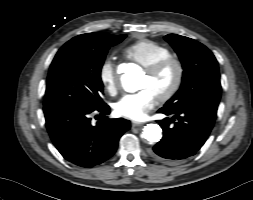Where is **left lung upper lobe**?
Masks as SVG:
<instances>
[{"label": "left lung upper lobe", "mask_w": 253, "mask_h": 200, "mask_svg": "<svg viewBox=\"0 0 253 200\" xmlns=\"http://www.w3.org/2000/svg\"><path fill=\"white\" fill-rule=\"evenodd\" d=\"M178 54L183 66L182 84L178 92L165 104L169 110L197 105L218 106L221 96L218 62L203 44L184 36H165Z\"/></svg>", "instance_id": "5c2ea615"}]
</instances>
